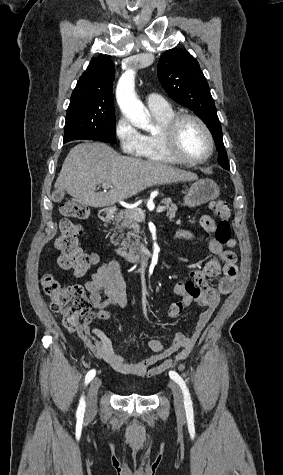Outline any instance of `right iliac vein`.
<instances>
[{
	"instance_id": "right-iliac-vein-1",
	"label": "right iliac vein",
	"mask_w": 283,
	"mask_h": 475,
	"mask_svg": "<svg viewBox=\"0 0 283 475\" xmlns=\"http://www.w3.org/2000/svg\"><path fill=\"white\" fill-rule=\"evenodd\" d=\"M101 385V380L99 378H94L89 386L88 398L86 404V414L92 416L96 408V397Z\"/></svg>"
}]
</instances>
